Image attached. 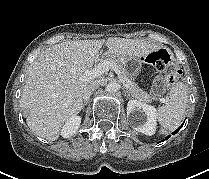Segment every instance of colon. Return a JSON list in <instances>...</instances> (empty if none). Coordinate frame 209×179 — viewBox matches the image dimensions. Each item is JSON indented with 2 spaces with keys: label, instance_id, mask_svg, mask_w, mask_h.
I'll list each match as a JSON object with an SVG mask.
<instances>
[{
  "label": "colon",
  "instance_id": "colon-1",
  "mask_svg": "<svg viewBox=\"0 0 209 179\" xmlns=\"http://www.w3.org/2000/svg\"><path fill=\"white\" fill-rule=\"evenodd\" d=\"M145 61L160 70H164L170 65V57L168 53L163 49H159L150 53L148 56H146ZM180 75L181 70L179 68H170L167 76V83H175L179 79Z\"/></svg>",
  "mask_w": 209,
  "mask_h": 179
}]
</instances>
